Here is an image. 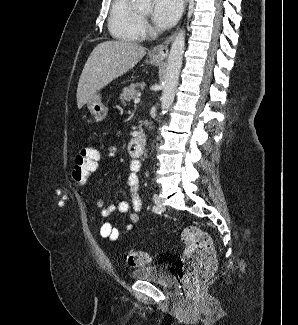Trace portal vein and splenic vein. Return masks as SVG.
I'll return each instance as SVG.
<instances>
[{"label":"portal vein and splenic vein","mask_w":298,"mask_h":325,"mask_svg":"<svg viewBox=\"0 0 298 325\" xmlns=\"http://www.w3.org/2000/svg\"><path fill=\"white\" fill-rule=\"evenodd\" d=\"M141 100V94H137L136 98H134L133 102L134 104H137V102H140Z\"/></svg>","instance_id":"18ae733b"}]
</instances>
